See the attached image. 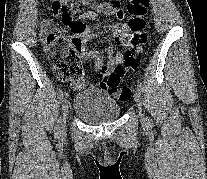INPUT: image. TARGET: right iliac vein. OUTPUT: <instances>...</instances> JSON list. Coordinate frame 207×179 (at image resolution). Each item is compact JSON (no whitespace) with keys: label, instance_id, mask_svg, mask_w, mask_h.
I'll list each match as a JSON object with an SVG mask.
<instances>
[{"label":"right iliac vein","instance_id":"1","mask_svg":"<svg viewBox=\"0 0 207 179\" xmlns=\"http://www.w3.org/2000/svg\"><path fill=\"white\" fill-rule=\"evenodd\" d=\"M61 109H62V117H61L60 122H61L62 128H64L65 123H66L67 114H68V103L66 100L62 101Z\"/></svg>","mask_w":207,"mask_h":179}]
</instances>
